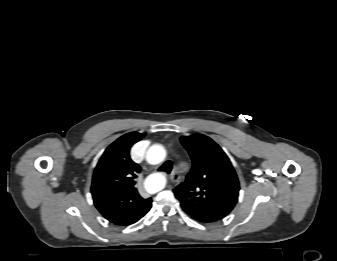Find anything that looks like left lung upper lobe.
Instances as JSON below:
<instances>
[{
	"instance_id": "left-lung-upper-lobe-1",
	"label": "left lung upper lobe",
	"mask_w": 337,
	"mask_h": 261,
	"mask_svg": "<svg viewBox=\"0 0 337 261\" xmlns=\"http://www.w3.org/2000/svg\"><path fill=\"white\" fill-rule=\"evenodd\" d=\"M193 166L185 182L173 191L183 210L193 219L212 223L231 212L238 200L239 181L230 160L211 138L182 136Z\"/></svg>"
}]
</instances>
